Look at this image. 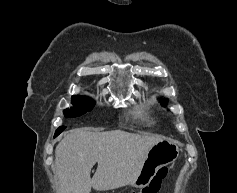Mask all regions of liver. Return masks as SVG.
I'll use <instances>...</instances> for the list:
<instances>
[{
    "instance_id": "1",
    "label": "liver",
    "mask_w": 237,
    "mask_h": 193,
    "mask_svg": "<svg viewBox=\"0 0 237 193\" xmlns=\"http://www.w3.org/2000/svg\"><path fill=\"white\" fill-rule=\"evenodd\" d=\"M123 130L106 132L76 128L55 149L56 193H90L130 184L138 175L148 150L161 141ZM97 163L91 179L90 172Z\"/></svg>"
}]
</instances>
